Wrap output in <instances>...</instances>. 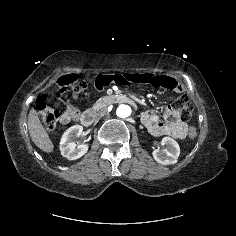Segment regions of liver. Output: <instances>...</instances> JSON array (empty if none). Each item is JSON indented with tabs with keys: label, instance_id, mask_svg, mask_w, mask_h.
<instances>
[{
	"label": "liver",
	"instance_id": "obj_1",
	"mask_svg": "<svg viewBox=\"0 0 236 236\" xmlns=\"http://www.w3.org/2000/svg\"><path fill=\"white\" fill-rule=\"evenodd\" d=\"M28 130L32 141L38 148L46 153L53 151L54 145L42 126L34 108L30 110L28 115Z\"/></svg>",
	"mask_w": 236,
	"mask_h": 236
}]
</instances>
